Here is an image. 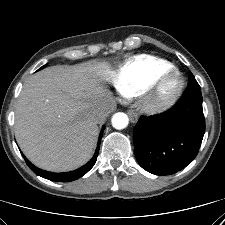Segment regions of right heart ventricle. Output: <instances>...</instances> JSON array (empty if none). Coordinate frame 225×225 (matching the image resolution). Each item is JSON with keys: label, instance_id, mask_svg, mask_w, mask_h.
<instances>
[{"label": "right heart ventricle", "instance_id": "obj_1", "mask_svg": "<svg viewBox=\"0 0 225 225\" xmlns=\"http://www.w3.org/2000/svg\"><path fill=\"white\" fill-rule=\"evenodd\" d=\"M173 69V64L162 58L141 54L125 62L116 73L113 84L125 97L139 95L157 76Z\"/></svg>", "mask_w": 225, "mask_h": 225}]
</instances>
